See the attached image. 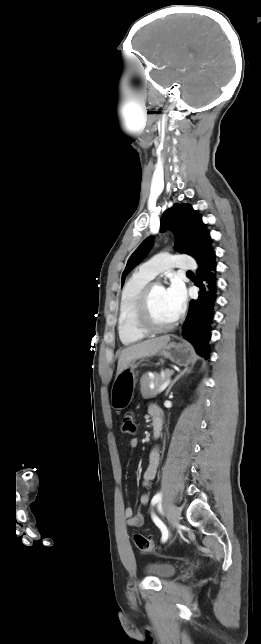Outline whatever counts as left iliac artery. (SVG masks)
<instances>
[{
	"label": "left iliac artery",
	"instance_id": "44dca946",
	"mask_svg": "<svg viewBox=\"0 0 261 644\" xmlns=\"http://www.w3.org/2000/svg\"><path fill=\"white\" fill-rule=\"evenodd\" d=\"M161 499H162V494L157 493L152 498L151 504L155 505L156 503L161 501ZM152 519H153L154 523L156 524V526H158L160 528L161 532H162V538H161L162 542H165L168 539V536H169V532H168L167 527L165 526V524L155 514H152Z\"/></svg>",
	"mask_w": 261,
	"mask_h": 644
}]
</instances>
